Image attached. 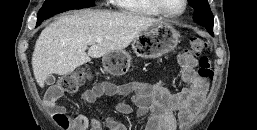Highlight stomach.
Listing matches in <instances>:
<instances>
[{"mask_svg": "<svg viewBox=\"0 0 257 130\" xmlns=\"http://www.w3.org/2000/svg\"><path fill=\"white\" fill-rule=\"evenodd\" d=\"M144 34H147L150 42L141 44L139 39H135L132 47L137 56L148 59L158 58L171 52L176 48L180 38L177 30L167 22L148 28ZM130 63L131 56L125 50L108 53L102 58L105 71L116 76L125 74Z\"/></svg>", "mask_w": 257, "mask_h": 130, "instance_id": "stomach-1", "label": "stomach"}]
</instances>
